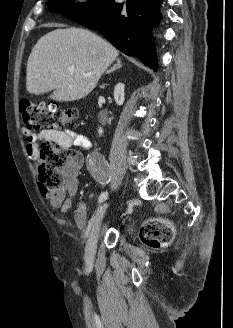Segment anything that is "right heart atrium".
<instances>
[{
    "instance_id": "1",
    "label": "right heart atrium",
    "mask_w": 233,
    "mask_h": 328,
    "mask_svg": "<svg viewBox=\"0 0 233 328\" xmlns=\"http://www.w3.org/2000/svg\"><path fill=\"white\" fill-rule=\"evenodd\" d=\"M80 1L85 2V1H88V0H80Z\"/></svg>"
}]
</instances>
